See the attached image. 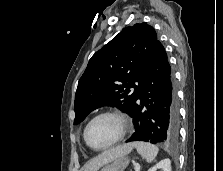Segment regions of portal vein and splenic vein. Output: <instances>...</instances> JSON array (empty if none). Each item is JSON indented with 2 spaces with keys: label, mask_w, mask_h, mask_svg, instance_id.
Here are the masks:
<instances>
[{
  "label": "portal vein and splenic vein",
  "mask_w": 223,
  "mask_h": 171,
  "mask_svg": "<svg viewBox=\"0 0 223 171\" xmlns=\"http://www.w3.org/2000/svg\"><path fill=\"white\" fill-rule=\"evenodd\" d=\"M135 171H140V165L138 163L134 164Z\"/></svg>",
  "instance_id": "18ae733b"
}]
</instances>
